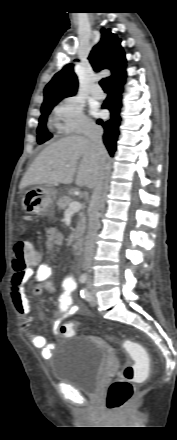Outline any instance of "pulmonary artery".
I'll return each instance as SVG.
<instances>
[{
	"label": "pulmonary artery",
	"instance_id": "pulmonary-artery-1",
	"mask_svg": "<svg viewBox=\"0 0 177 440\" xmlns=\"http://www.w3.org/2000/svg\"><path fill=\"white\" fill-rule=\"evenodd\" d=\"M91 94L95 99H102L104 97V94L99 87H96L95 89H93L91 91Z\"/></svg>",
	"mask_w": 177,
	"mask_h": 440
}]
</instances>
